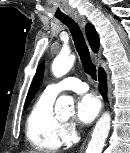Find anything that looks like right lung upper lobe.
<instances>
[{
    "label": "right lung upper lobe",
    "mask_w": 130,
    "mask_h": 153,
    "mask_svg": "<svg viewBox=\"0 0 130 153\" xmlns=\"http://www.w3.org/2000/svg\"><path fill=\"white\" fill-rule=\"evenodd\" d=\"M86 35H87V38L89 40L92 50L94 52H97L99 48V37H98L97 32L95 31L94 26L89 23L86 25ZM43 73H44V62H42L38 67V70L35 74V77L29 89V92L26 98V103L30 102L33 99L35 93L39 89L42 83Z\"/></svg>",
    "instance_id": "1"
}]
</instances>
